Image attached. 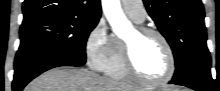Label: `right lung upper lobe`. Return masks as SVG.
<instances>
[{
	"instance_id": "obj_1",
	"label": "right lung upper lobe",
	"mask_w": 220,
	"mask_h": 91,
	"mask_svg": "<svg viewBox=\"0 0 220 91\" xmlns=\"http://www.w3.org/2000/svg\"><path fill=\"white\" fill-rule=\"evenodd\" d=\"M23 15V23L59 15L100 19L101 4L100 0H25Z\"/></svg>"
}]
</instances>
